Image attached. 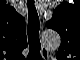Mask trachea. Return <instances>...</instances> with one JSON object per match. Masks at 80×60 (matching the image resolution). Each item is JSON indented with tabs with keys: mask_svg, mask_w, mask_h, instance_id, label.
<instances>
[{
	"mask_svg": "<svg viewBox=\"0 0 80 60\" xmlns=\"http://www.w3.org/2000/svg\"><path fill=\"white\" fill-rule=\"evenodd\" d=\"M28 6V43H29V55L33 57H40L41 43L39 39V17L36 11L34 0L27 1Z\"/></svg>",
	"mask_w": 80,
	"mask_h": 60,
	"instance_id": "obj_1",
	"label": "trachea"
}]
</instances>
